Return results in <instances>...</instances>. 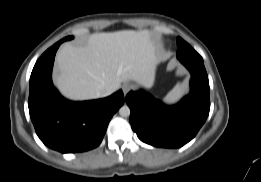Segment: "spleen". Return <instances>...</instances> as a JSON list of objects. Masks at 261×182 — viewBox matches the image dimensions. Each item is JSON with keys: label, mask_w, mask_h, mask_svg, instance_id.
<instances>
[{"label": "spleen", "mask_w": 261, "mask_h": 182, "mask_svg": "<svg viewBox=\"0 0 261 182\" xmlns=\"http://www.w3.org/2000/svg\"><path fill=\"white\" fill-rule=\"evenodd\" d=\"M186 85L184 83H178L165 97L166 103H175L185 93Z\"/></svg>", "instance_id": "3e777b00"}]
</instances>
